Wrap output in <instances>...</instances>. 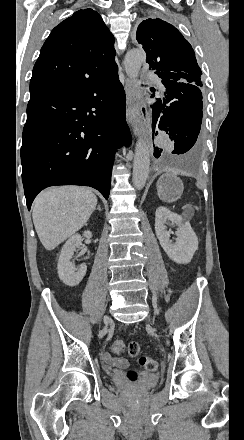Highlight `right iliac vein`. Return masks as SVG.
<instances>
[{"label": "right iliac vein", "instance_id": "right-iliac-vein-1", "mask_svg": "<svg viewBox=\"0 0 244 440\" xmlns=\"http://www.w3.org/2000/svg\"><path fill=\"white\" fill-rule=\"evenodd\" d=\"M111 322V319L110 318H106L105 319V323H110Z\"/></svg>", "mask_w": 244, "mask_h": 440}]
</instances>
